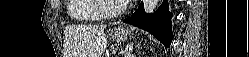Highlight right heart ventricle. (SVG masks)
Masks as SVG:
<instances>
[{"label":"right heart ventricle","mask_w":249,"mask_h":57,"mask_svg":"<svg viewBox=\"0 0 249 57\" xmlns=\"http://www.w3.org/2000/svg\"><path fill=\"white\" fill-rule=\"evenodd\" d=\"M67 14L76 21H95L102 18L94 7V0H68Z\"/></svg>","instance_id":"right-heart-ventricle-1"}]
</instances>
